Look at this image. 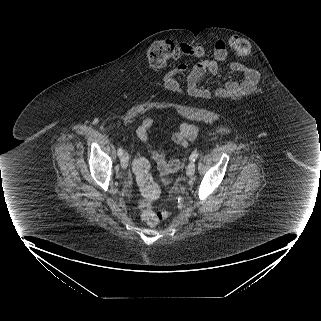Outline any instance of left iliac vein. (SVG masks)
<instances>
[{"label":"left iliac vein","instance_id":"4c4485c4","mask_svg":"<svg viewBox=\"0 0 321 321\" xmlns=\"http://www.w3.org/2000/svg\"><path fill=\"white\" fill-rule=\"evenodd\" d=\"M195 168H196V165H195L194 161H191L187 166L186 174L189 177H192L194 175V173H195Z\"/></svg>","mask_w":321,"mask_h":321}]
</instances>
